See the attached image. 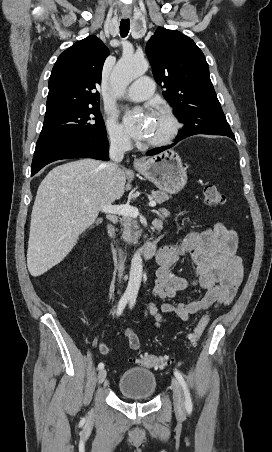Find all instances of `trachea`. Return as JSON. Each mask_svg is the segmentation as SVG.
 Masks as SVG:
<instances>
[{
	"mask_svg": "<svg viewBox=\"0 0 272 452\" xmlns=\"http://www.w3.org/2000/svg\"><path fill=\"white\" fill-rule=\"evenodd\" d=\"M130 29V20L122 19L120 22V34L122 37H126L129 33Z\"/></svg>",
	"mask_w": 272,
	"mask_h": 452,
	"instance_id": "trachea-1",
	"label": "trachea"
}]
</instances>
